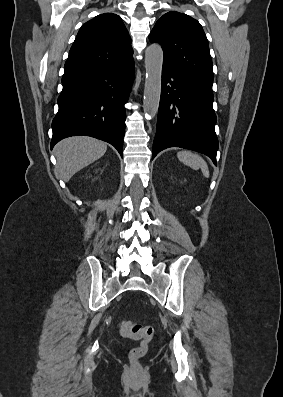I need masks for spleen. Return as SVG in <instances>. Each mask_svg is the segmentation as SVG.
Listing matches in <instances>:
<instances>
[{
  "label": "spleen",
  "mask_w": 283,
  "mask_h": 397,
  "mask_svg": "<svg viewBox=\"0 0 283 397\" xmlns=\"http://www.w3.org/2000/svg\"><path fill=\"white\" fill-rule=\"evenodd\" d=\"M177 157L183 164L191 167L194 170L201 169L203 175L206 178L209 177L208 165L198 154L185 150L178 152Z\"/></svg>",
  "instance_id": "1"
}]
</instances>
